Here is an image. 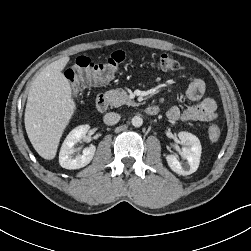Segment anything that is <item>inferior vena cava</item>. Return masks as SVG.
<instances>
[{"instance_id":"602c4592","label":"inferior vena cava","mask_w":251,"mask_h":251,"mask_svg":"<svg viewBox=\"0 0 251 251\" xmlns=\"http://www.w3.org/2000/svg\"><path fill=\"white\" fill-rule=\"evenodd\" d=\"M120 118L121 117L118 113L109 112L104 115L103 121L107 125H115L119 122Z\"/></svg>"}]
</instances>
